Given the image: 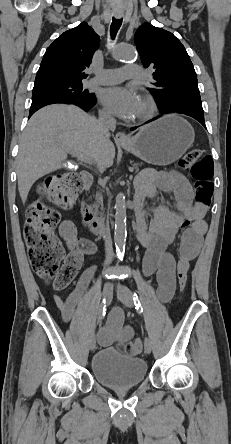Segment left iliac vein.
Listing matches in <instances>:
<instances>
[{"mask_svg":"<svg viewBox=\"0 0 231 444\" xmlns=\"http://www.w3.org/2000/svg\"><path fill=\"white\" fill-rule=\"evenodd\" d=\"M115 286H116L117 290L119 291V295L122 297L125 305L128 308H133L134 303H133L132 293L128 289V287H126L125 285H123L121 283H117ZM144 350L147 354H150L152 351V343L148 337L144 338Z\"/></svg>","mask_w":231,"mask_h":444,"instance_id":"4c4485c4","label":"left iliac vein"}]
</instances>
